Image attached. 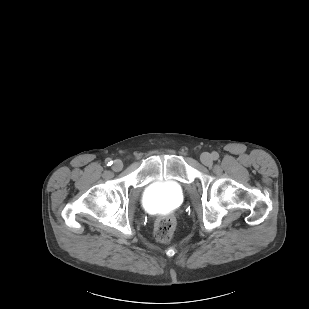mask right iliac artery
<instances>
[{
  "instance_id": "1",
  "label": "right iliac artery",
  "mask_w": 309,
  "mask_h": 309,
  "mask_svg": "<svg viewBox=\"0 0 309 309\" xmlns=\"http://www.w3.org/2000/svg\"><path fill=\"white\" fill-rule=\"evenodd\" d=\"M105 163L107 164V166H111L113 162L111 161V159H106Z\"/></svg>"
}]
</instances>
